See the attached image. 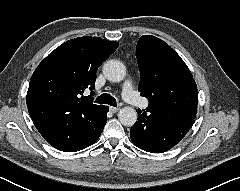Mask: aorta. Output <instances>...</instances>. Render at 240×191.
<instances>
[{"label":"aorta","instance_id":"762f6f07","mask_svg":"<svg viewBox=\"0 0 240 191\" xmlns=\"http://www.w3.org/2000/svg\"><path fill=\"white\" fill-rule=\"evenodd\" d=\"M103 73L109 81L121 82L126 76V67L118 60H109L103 66ZM137 117L136 110L129 106L123 107L118 113L119 121L127 127L133 126Z\"/></svg>","mask_w":240,"mask_h":191}]
</instances>
